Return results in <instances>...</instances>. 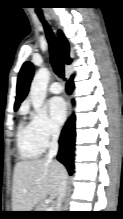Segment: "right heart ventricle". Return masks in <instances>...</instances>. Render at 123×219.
<instances>
[{"mask_svg":"<svg viewBox=\"0 0 123 219\" xmlns=\"http://www.w3.org/2000/svg\"><path fill=\"white\" fill-rule=\"evenodd\" d=\"M17 146L20 156L26 160L38 158L44 150L38 142L30 123L26 124L24 122H21L18 126Z\"/></svg>","mask_w":123,"mask_h":219,"instance_id":"1","label":"right heart ventricle"}]
</instances>
